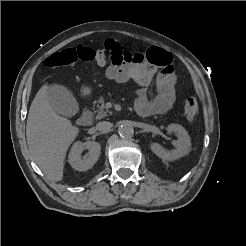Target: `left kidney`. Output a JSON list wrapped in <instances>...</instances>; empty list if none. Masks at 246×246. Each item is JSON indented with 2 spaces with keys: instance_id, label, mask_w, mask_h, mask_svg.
Returning a JSON list of instances; mask_svg holds the SVG:
<instances>
[{
  "instance_id": "5707ae66",
  "label": "left kidney",
  "mask_w": 246,
  "mask_h": 246,
  "mask_svg": "<svg viewBox=\"0 0 246 246\" xmlns=\"http://www.w3.org/2000/svg\"><path fill=\"white\" fill-rule=\"evenodd\" d=\"M168 133H174L177 140L173 142L175 149L165 150L159 143H152L151 150L162 160L173 161L189 153L191 142L187 131L179 124H170L167 127Z\"/></svg>"
}]
</instances>
